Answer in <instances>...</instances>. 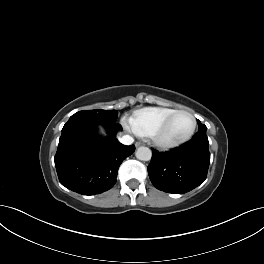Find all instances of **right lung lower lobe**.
Masks as SVG:
<instances>
[{"label":"right lung lower lobe","instance_id":"right-lung-lower-lobe-1","mask_svg":"<svg viewBox=\"0 0 264 264\" xmlns=\"http://www.w3.org/2000/svg\"><path fill=\"white\" fill-rule=\"evenodd\" d=\"M97 124L88 118L69 119L54 158L60 183L82 195L112 188L122 161L135 151L134 145H123L115 138L122 130L120 124L100 122L106 137L97 134Z\"/></svg>","mask_w":264,"mask_h":264}]
</instances>
